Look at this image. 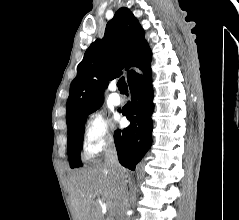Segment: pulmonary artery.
<instances>
[{
  "label": "pulmonary artery",
  "mask_w": 239,
  "mask_h": 220,
  "mask_svg": "<svg viewBox=\"0 0 239 220\" xmlns=\"http://www.w3.org/2000/svg\"><path fill=\"white\" fill-rule=\"evenodd\" d=\"M116 89L115 84L110 85L111 93L109 95V101L114 105H119L121 103V96L116 92Z\"/></svg>",
  "instance_id": "obj_1"
}]
</instances>
